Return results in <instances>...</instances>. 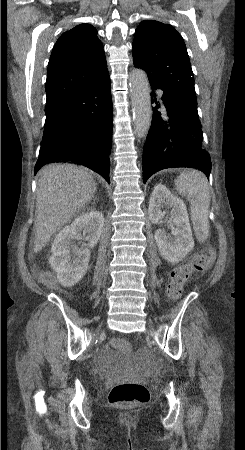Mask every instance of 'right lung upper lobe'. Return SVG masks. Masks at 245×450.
<instances>
[{
	"label": "right lung upper lobe",
	"mask_w": 245,
	"mask_h": 450,
	"mask_svg": "<svg viewBox=\"0 0 245 450\" xmlns=\"http://www.w3.org/2000/svg\"><path fill=\"white\" fill-rule=\"evenodd\" d=\"M107 70L97 30L80 24L57 40L48 64L45 109L74 94Z\"/></svg>",
	"instance_id": "1"
}]
</instances>
